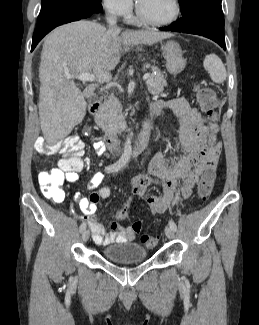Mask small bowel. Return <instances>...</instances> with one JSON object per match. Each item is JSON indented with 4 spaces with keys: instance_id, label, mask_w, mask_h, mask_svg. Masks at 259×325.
<instances>
[{
    "instance_id": "1",
    "label": "small bowel",
    "mask_w": 259,
    "mask_h": 325,
    "mask_svg": "<svg viewBox=\"0 0 259 325\" xmlns=\"http://www.w3.org/2000/svg\"><path fill=\"white\" fill-rule=\"evenodd\" d=\"M167 109L173 111L178 117L180 142L185 154L170 158L163 152L156 153L149 164L150 175L134 178L129 185L131 193L144 199L153 214L167 211L177 197L189 198L202 173L215 169L221 152V144L214 136L213 139L212 136L207 137L208 127L205 119L196 108L189 105L186 99L158 101L150 107L148 115L156 117ZM93 147L98 155H103L106 151L105 144L101 140H95ZM62 163L61 159L59 165ZM89 165V159L82 160L80 157L73 168L65 170L66 180L71 183L77 182L79 173ZM103 178L102 172H96L88 182L87 188L97 189ZM179 181L182 183L180 187H178ZM152 185L161 188V195L148 194V188ZM111 194L110 188L102 187L91 193L88 198L82 197L79 193L74 195L75 202L85 215L93 240L98 245L128 242L135 238V232L131 227L117 223H113L111 230L107 232L97 216L98 201L109 198Z\"/></svg>"
}]
</instances>
